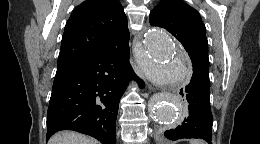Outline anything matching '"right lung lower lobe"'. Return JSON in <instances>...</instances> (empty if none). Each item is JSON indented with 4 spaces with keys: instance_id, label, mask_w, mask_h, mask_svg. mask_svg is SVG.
I'll return each instance as SVG.
<instances>
[{
    "instance_id": "right-lung-lower-lobe-1",
    "label": "right lung lower lobe",
    "mask_w": 260,
    "mask_h": 144,
    "mask_svg": "<svg viewBox=\"0 0 260 144\" xmlns=\"http://www.w3.org/2000/svg\"><path fill=\"white\" fill-rule=\"evenodd\" d=\"M131 79L143 87L130 65L128 45L58 64L46 140L57 131L74 130L115 144L119 101Z\"/></svg>"
}]
</instances>
